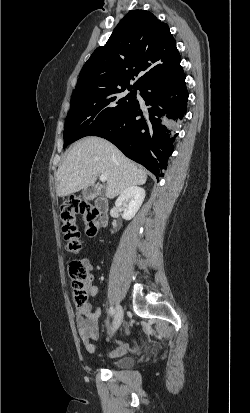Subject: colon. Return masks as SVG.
I'll return each instance as SVG.
<instances>
[{
    "label": "colon",
    "mask_w": 250,
    "mask_h": 413,
    "mask_svg": "<svg viewBox=\"0 0 250 413\" xmlns=\"http://www.w3.org/2000/svg\"><path fill=\"white\" fill-rule=\"evenodd\" d=\"M77 215L83 217L88 236H96L99 230L96 208L80 197H71L65 201L61 207L62 231L66 248L73 254H78L81 250L80 232L76 223ZM69 274L72 280L74 303L77 308H83L88 305L91 274L79 260L70 263Z\"/></svg>",
    "instance_id": "colon-1"
}]
</instances>
